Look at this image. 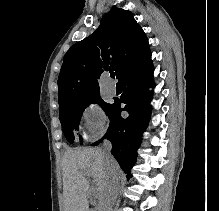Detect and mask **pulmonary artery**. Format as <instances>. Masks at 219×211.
<instances>
[{
	"mask_svg": "<svg viewBox=\"0 0 219 211\" xmlns=\"http://www.w3.org/2000/svg\"><path fill=\"white\" fill-rule=\"evenodd\" d=\"M107 91H108L109 95H112V96L116 95V93H117L116 86L114 85L112 79L108 80Z\"/></svg>",
	"mask_w": 219,
	"mask_h": 211,
	"instance_id": "pulmonary-artery-1",
	"label": "pulmonary artery"
}]
</instances>
